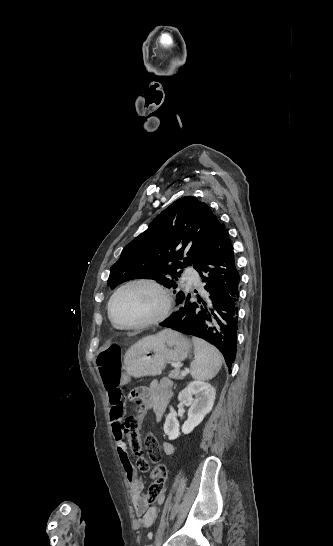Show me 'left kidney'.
Segmentation results:
<instances>
[{
    "label": "left kidney",
    "instance_id": "left-kidney-1",
    "mask_svg": "<svg viewBox=\"0 0 333 546\" xmlns=\"http://www.w3.org/2000/svg\"><path fill=\"white\" fill-rule=\"evenodd\" d=\"M178 400L183 404L190 405L188 419L181 428L184 434H189L212 410L215 401V389L209 383L193 381L179 393ZM164 432L170 440L179 437V423L175 414L167 415Z\"/></svg>",
    "mask_w": 333,
    "mask_h": 546
}]
</instances>
